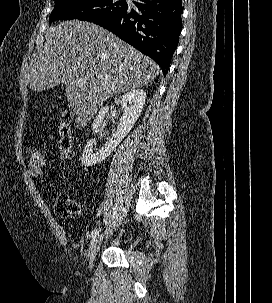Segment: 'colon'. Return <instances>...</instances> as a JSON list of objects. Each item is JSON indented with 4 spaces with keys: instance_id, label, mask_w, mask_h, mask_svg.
<instances>
[{
    "instance_id": "obj_1",
    "label": "colon",
    "mask_w": 272,
    "mask_h": 303,
    "mask_svg": "<svg viewBox=\"0 0 272 303\" xmlns=\"http://www.w3.org/2000/svg\"><path fill=\"white\" fill-rule=\"evenodd\" d=\"M59 148L63 158L68 159L73 156V138L72 128L70 123V115L65 113L62 115L59 123ZM29 166L31 171L43 176L47 170V161L44 152L40 148H33L29 155ZM54 211L61 217L74 218L80 215L82 211L81 203L66 194L58 195L53 204Z\"/></svg>"
}]
</instances>
